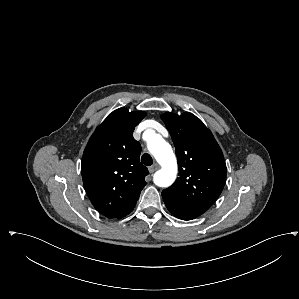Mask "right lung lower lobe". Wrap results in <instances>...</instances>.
Here are the masks:
<instances>
[{"label":"right lung lower lobe","mask_w":299,"mask_h":299,"mask_svg":"<svg viewBox=\"0 0 299 299\" xmlns=\"http://www.w3.org/2000/svg\"><path fill=\"white\" fill-rule=\"evenodd\" d=\"M133 208H134V207H132L131 209H129L127 212H125V213H124L121 217H119V218H122V217L128 215V214L133 210Z\"/></svg>","instance_id":"right-lung-lower-lobe-1"}]
</instances>
